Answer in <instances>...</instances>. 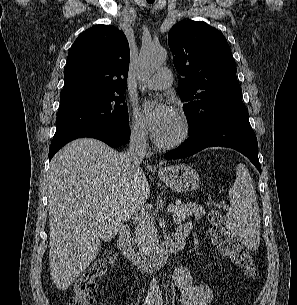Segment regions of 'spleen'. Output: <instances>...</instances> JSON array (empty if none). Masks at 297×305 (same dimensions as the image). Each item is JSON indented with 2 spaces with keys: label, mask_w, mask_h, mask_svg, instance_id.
I'll list each match as a JSON object with an SVG mask.
<instances>
[{
  "label": "spleen",
  "mask_w": 297,
  "mask_h": 305,
  "mask_svg": "<svg viewBox=\"0 0 297 305\" xmlns=\"http://www.w3.org/2000/svg\"><path fill=\"white\" fill-rule=\"evenodd\" d=\"M237 177L228 195L231 208L225 223L248 248L257 249L260 242V215L252 178L247 167L239 163Z\"/></svg>",
  "instance_id": "1"
}]
</instances>
